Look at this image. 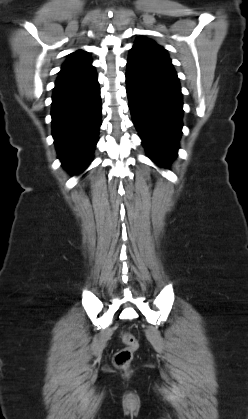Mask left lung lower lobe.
I'll list each match as a JSON object with an SVG mask.
<instances>
[{
  "label": "left lung lower lobe",
  "instance_id": "0a47b994",
  "mask_svg": "<svg viewBox=\"0 0 248 419\" xmlns=\"http://www.w3.org/2000/svg\"><path fill=\"white\" fill-rule=\"evenodd\" d=\"M126 87L131 118L149 158L167 168L177 156L183 126L181 87L171 61L132 48Z\"/></svg>",
  "mask_w": 248,
  "mask_h": 419
}]
</instances>
